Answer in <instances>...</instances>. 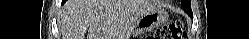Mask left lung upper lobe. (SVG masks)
I'll return each mask as SVG.
<instances>
[{
  "mask_svg": "<svg viewBox=\"0 0 249 39\" xmlns=\"http://www.w3.org/2000/svg\"><path fill=\"white\" fill-rule=\"evenodd\" d=\"M181 5L184 8V10L190 14L191 12V7H190V0H182Z\"/></svg>",
  "mask_w": 249,
  "mask_h": 39,
  "instance_id": "1",
  "label": "left lung upper lobe"
}]
</instances>
